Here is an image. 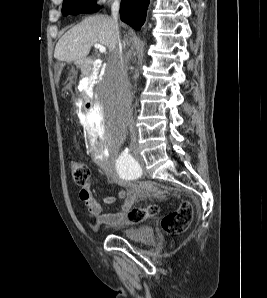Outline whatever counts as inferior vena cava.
<instances>
[{"label":"inferior vena cava","mask_w":267,"mask_h":298,"mask_svg":"<svg viewBox=\"0 0 267 298\" xmlns=\"http://www.w3.org/2000/svg\"><path fill=\"white\" fill-rule=\"evenodd\" d=\"M119 0H114L111 5L112 19L114 27L118 30V14H119ZM108 70L113 73L116 79V102L115 107L119 116L129 125L133 131V116H132V93L130 90V84L128 81V67L122 54V46L120 40H118L117 46L112 51L111 57L108 61Z\"/></svg>","instance_id":"inferior-vena-cava-1"}]
</instances>
